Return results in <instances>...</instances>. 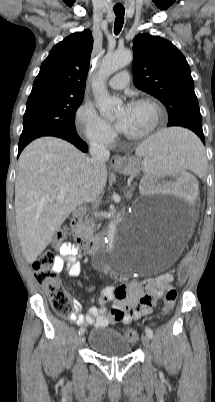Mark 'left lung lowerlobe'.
I'll use <instances>...</instances> for the list:
<instances>
[{
	"label": "left lung lower lobe",
	"instance_id": "1",
	"mask_svg": "<svg viewBox=\"0 0 215 402\" xmlns=\"http://www.w3.org/2000/svg\"><path fill=\"white\" fill-rule=\"evenodd\" d=\"M186 128H187V127H186ZM190 130H192L193 132H195V133L201 138L202 142L205 143V138H204L203 131L201 132V131L193 130V129H190Z\"/></svg>",
	"mask_w": 215,
	"mask_h": 402
}]
</instances>
